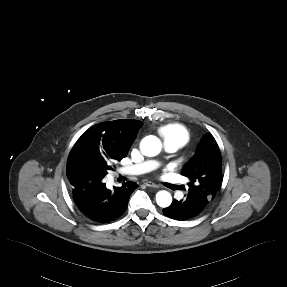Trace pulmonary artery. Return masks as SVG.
Returning <instances> with one entry per match:
<instances>
[{
	"label": "pulmonary artery",
	"mask_w": 287,
	"mask_h": 287,
	"mask_svg": "<svg viewBox=\"0 0 287 287\" xmlns=\"http://www.w3.org/2000/svg\"><path fill=\"white\" fill-rule=\"evenodd\" d=\"M164 148L167 152L170 153H174L179 149V147L176 144L169 142L164 143ZM156 166H157L156 162L146 161L140 164L123 167L119 170V172L124 175H139L154 169Z\"/></svg>",
	"instance_id": "e3ab8cb5"
}]
</instances>
